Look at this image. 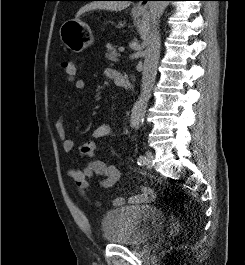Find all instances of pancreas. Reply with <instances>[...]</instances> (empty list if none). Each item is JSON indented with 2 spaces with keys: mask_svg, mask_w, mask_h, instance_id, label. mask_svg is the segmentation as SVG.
<instances>
[{
  "mask_svg": "<svg viewBox=\"0 0 245 265\" xmlns=\"http://www.w3.org/2000/svg\"><path fill=\"white\" fill-rule=\"evenodd\" d=\"M107 53L105 54V57L112 61V62H118L119 54L116 51V47L112 46L111 44H107Z\"/></svg>",
  "mask_w": 245,
  "mask_h": 265,
  "instance_id": "pancreas-1",
  "label": "pancreas"
}]
</instances>
